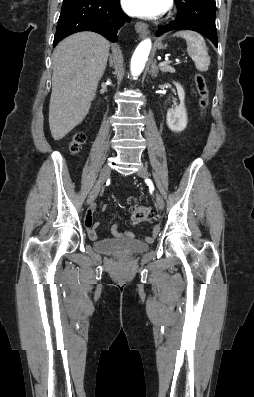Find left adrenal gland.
<instances>
[{
  "label": "left adrenal gland",
  "instance_id": "1",
  "mask_svg": "<svg viewBox=\"0 0 254 397\" xmlns=\"http://www.w3.org/2000/svg\"><path fill=\"white\" fill-rule=\"evenodd\" d=\"M158 72H159V69H158V67H157V61L154 60V61L152 62L151 68H150V75H151L152 77H157Z\"/></svg>",
  "mask_w": 254,
  "mask_h": 397
}]
</instances>
